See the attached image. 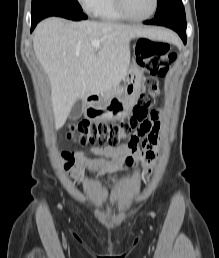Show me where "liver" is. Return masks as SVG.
<instances>
[{
    "instance_id": "6515ba94",
    "label": "liver",
    "mask_w": 219,
    "mask_h": 258,
    "mask_svg": "<svg viewBox=\"0 0 219 258\" xmlns=\"http://www.w3.org/2000/svg\"><path fill=\"white\" fill-rule=\"evenodd\" d=\"M135 37L174 38L159 28L65 22L57 17L37 25L33 48L49 78L56 127L65 123L78 99L103 94L125 79L130 63L129 42ZM95 40L100 42L98 50L91 45Z\"/></svg>"
}]
</instances>
